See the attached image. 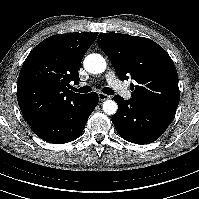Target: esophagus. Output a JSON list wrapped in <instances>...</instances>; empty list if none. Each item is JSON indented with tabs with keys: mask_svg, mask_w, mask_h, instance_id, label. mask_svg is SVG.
<instances>
[{
	"mask_svg": "<svg viewBox=\"0 0 199 199\" xmlns=\"http://www.w3.org/2000/svg\"><path fill=\"white\" fill-rule=\"evenodd\" d=\"M98 97L100 101H105L107 99H109L110 97L102 92H98Z\"/></svg>",
	"mask_w": 199,
	"mask_h": 199,
	"instance_id": "34e87169",
	"label": "esophagus"
}]
</instances>
